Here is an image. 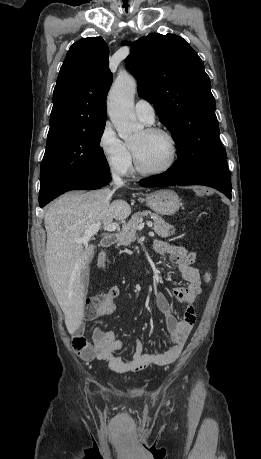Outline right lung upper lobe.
I'll return each instance as SVG.
<instances>
[{"mask_svg":"<svg viewBox=\"0 0 261 459\" xmlns=\"http://www.w3.org/2000/svg\"><path fill=\"white\" fill-rule=\"evenodd\" d=\"M108 58L100 37L84 38L70 47L54 89L48 135L106 122V97L113 80Z\"/></svg>","mask_w":261,"mask_h":459,"instance_id":"right-lung-upper-lobe-1","label":"right lung upper lobe"}]
</instances>
